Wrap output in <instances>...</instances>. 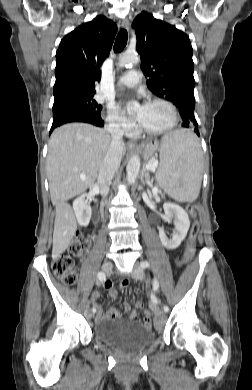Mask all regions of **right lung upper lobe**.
Listing matches in <instances>:
<instances>
[{"label":"right lung upper lobe","mask_w":252,"mask_h":390,"mask_svg":"<svg viewBox=\"0 0 252 390\" xmlns=\"http://www.w3.org/2000/svg\"><path fill=\"white\" fill-rule=\"evenodd\" d=\"M117 26L105 16L84 23L60 42L56 52L54 101L77 95H94L100 66L108 56Z\"/></svg>","instance_id":"1"}]
</instances>
